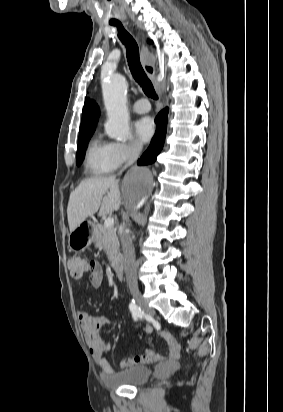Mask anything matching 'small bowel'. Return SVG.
Returning <instances> with one entry per match:
<instances>
[{"instance_id":"small-bowel-1","label":"small bowel","mask_w":283,"mask_h":412,"mask_svg":"<svg viewBox=\"0 0 283 412\" xmlns=\"http://www.w3.org/2000/svg\"><path fill=\"white\" fill-rule=\"evenodd\" d=\"M102 282V267L100 264L95 262V269L89 272V283L91 287L96 289L101 286ZM77 318L95 362L101 368L103 375L110 373L112 368L106 359V353L109 350V343L103 340L100 336V330L110 323V318L106 315H92L84 310L77 311ZM144 331L147 334L151 333L152 326L146 325ZM159 334L167 343L168 352L166 355L157 354L152 350H147L144 354L122 360L120 362V367L128 368L137 364L153 363L164 360H176L180 353V346L178 342L170 333L166 331H161Z\"/></svg>"}]
</instances>
